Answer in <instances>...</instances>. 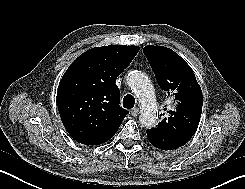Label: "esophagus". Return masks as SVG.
<instances>
[{
    "mask_svg": "<svg viewBox=\"0 0 245 189\" xmlns=\"http://www.w3.org/2000/svg\"><path fill=\"white\" fill-rule=\"evenodd\" d=\"M139 111H140V109H139V108H134V109H132V110H131V114H132V116H137V115H138V113H139Z\"/></svg>",
    "mask_w": 245,
    "mask_h": 189,
    "instance_id": "obj_1",
    "label": "esophagus"
}]
</instances>
